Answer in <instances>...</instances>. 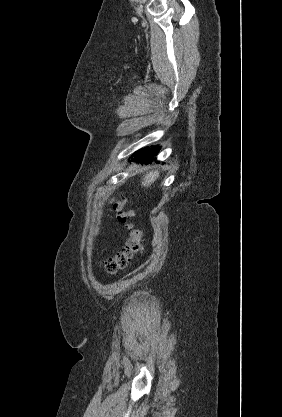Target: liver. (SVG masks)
Masks as SVG:
<instances>
[{
	"label": "liver",
	"mask_w": 282,
	"mask_h": 417,
	"mask_svg": "<svg viewBox=\"0 0 282 417\" xmlns=\"http://www.w3.org/2000/svg\"><path fill=\"white\" fill-rule=\"evenodd\" d=\"M158 176H159V170H149L147 174H144V178L142 182L143 186H150V184H152V182H154V180H156Z\"/></svg>",
	"instance_id": "1"
}]
</instances>
